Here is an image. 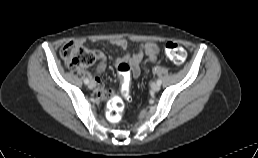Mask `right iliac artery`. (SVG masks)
Returning a JSON list of instances; mask_svg holds the SVG:
<instances>
[{
	"mask_svg": "<svg viewBox=\"0 0 258 158\" xmlns=\"http://www.w3.org/2000/svg\"><path fill=\"white\" fill-rule=\"evenodd\" d=\"M84 83L85 84H88L89 83V80L86 78V79H84Z\"/></svg>",
	"mask_w": 258,
	"mask_h": 158,
	"instance_id": "1",
	"label": "right iliac artery"
}]
</instances>
